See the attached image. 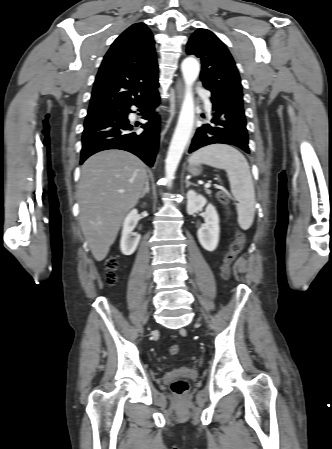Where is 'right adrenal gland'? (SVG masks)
<instances>
[{"instance_id":"1","label":"right adrenal gland","mask_w":332,"mask_h":449,"mask_svg":"<svg viewBox=\"0 0 332 449\" xmlns=\"http://www.w3.org/2000/svg\"><path fill=\"white\" fill-rule=\"evenodd\" d=\"M149 191H150V187H149V176H147V177H146V182H145V187H144V189H143L142 194H141L140 197L143 198V197L145 196V194L149 193Z\"/></svg>"}]
</instances>
